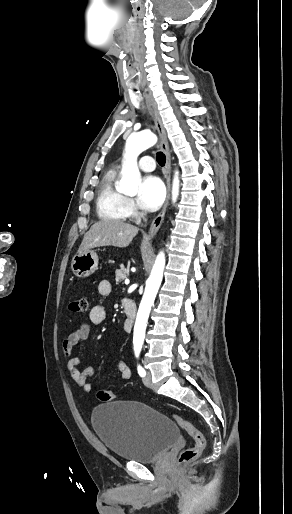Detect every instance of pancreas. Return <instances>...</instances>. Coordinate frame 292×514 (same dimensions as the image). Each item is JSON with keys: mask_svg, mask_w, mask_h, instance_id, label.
Here are the masks:
<instances>
[{"mask_svg": "<svg viewBox=\"0 0 292 514\" xmlns=\"http://www.w3.org/2000/svg\"><path fill=\"white\" fill-rule=\"evenodd\" d=\"M127 274H129V270L121 264L120 270H115V280L116 284H119V282H122V280H125L127 278Z\"/></svg>", "mask_w": 292, "mask_h": 514, "instance_id": "cf45deb5", "label": "pancreas"}]
</instances>
